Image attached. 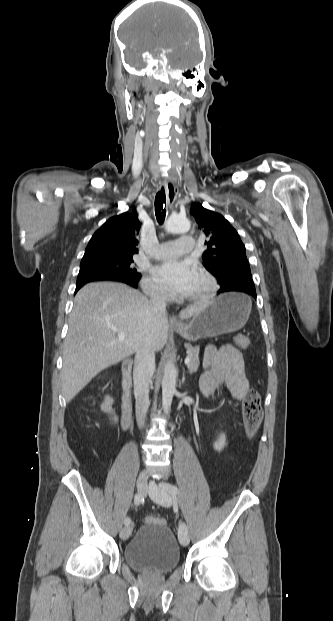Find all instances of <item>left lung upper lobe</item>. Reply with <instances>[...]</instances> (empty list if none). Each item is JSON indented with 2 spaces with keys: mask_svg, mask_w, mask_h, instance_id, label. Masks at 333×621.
Segmentation results:
<instances>
[{
  "mask_svg": "<svg viewBox=\"0 0 333 621\" xmlns=\"http://www.w3.org/2000/svg\"><path fill=\"white\" fill-rule=\"evenodd\" d=\"M208 238L203 253L204 267L217 278L220 289L235 284L254 286L245 246L237 231L219 213L193 204L190 210Z\"/></svg>",
  "mask_w": 333,
  "mask_h": 621,
  "instance_id": "1",
  "label": "left lung upper lobe"
}]
</instances>
